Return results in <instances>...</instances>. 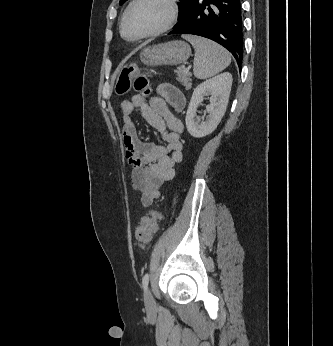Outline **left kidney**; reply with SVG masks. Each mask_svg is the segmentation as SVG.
<instances>
[{
	"label": "left kidney",
	"instance_id": "left-kidney-1",
	"mask_svg": "<svg viewBox=\"0 0 333 346\" xmlns=\"http://www.w3.org/2000/svg\"><path fill=\"white\" fill-rule=\"evenodd\" d=\"M232 75L221 73L199 84L193 91L187 114L186 127L191 136L202 138L212 133L225 114L232 86ZM210 94L211 104L207 107L206 121H196V110L203 97Z\"/></svg>",
	"mask_w": 333,
	"mask_h": 346
}]
</instances>
